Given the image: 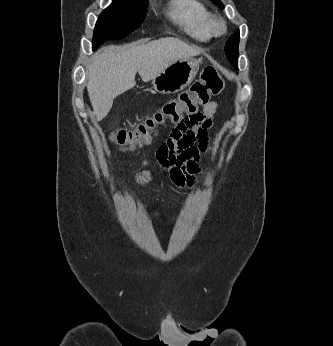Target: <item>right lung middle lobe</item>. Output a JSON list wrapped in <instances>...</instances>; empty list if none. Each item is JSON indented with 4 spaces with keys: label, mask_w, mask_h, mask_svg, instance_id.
Instances as JSON below:
<instances>
[{
    "label": "right lung middle lobe",
    "mask_w": 333,
    "mask_h": 346,
    "mask_svg": "<svg viewBox=\"0 0 333 346\" xmlns=\"http://www.w3.org/2000/svg\"><path fill=\"white\" fill-rule=\"evenodd\" d=\"M148 0H113L99 16L93 50L108 40L121 39L138 29L146 17Z\"/></svg>",
    "instance_id": "right-lung-middle-lobe-1"
}]
</instances>
